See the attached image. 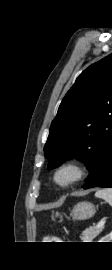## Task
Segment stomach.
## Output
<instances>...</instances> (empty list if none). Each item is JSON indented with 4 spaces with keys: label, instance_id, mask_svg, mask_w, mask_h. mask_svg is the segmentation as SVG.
Returning <instances> with one entry per match:
<instances>
[{
    "label": "stomach",
    "instance_id": "stomach-1",
    "mask_svg": "<svg viewBox=\"0 0 112 270\" xmlns=\"http://www.w3.org/2000/svg\"><path fill=\"white\" fill-rule=\"evenodd\" d=\"M95 212L96 210L92 203L83 201L73 207L71 216L74 220H86L93 217ZM56 216H59V213H56Z\"/></svg>",
    "mask_w": 112,
    "mask_h": 270
}]
</instances>
